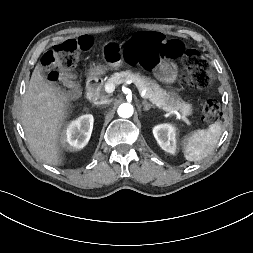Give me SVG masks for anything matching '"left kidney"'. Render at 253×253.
<instances>
[{
    "mask_svg": "<svg viewBox=\"0 0 253 253\" xmlns=\"http://www.w3.org/2000/svg\"><path fill=\"white\" fill-rule=\"evenodd\" d=\"M153 135L164 151L171 154L176 152V130L172 125L161 124L155 126Z\"/></svg>",
    "mask_w": 253,
    "mask_h": 253,
    "instance_id": "5707ae66",
    "label": "left kidney"
}]
</instances>
